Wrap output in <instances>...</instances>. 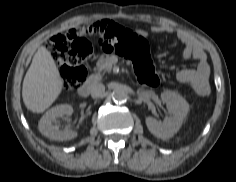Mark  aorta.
Returning <instances> with one entry per match:
<instances>
[{
	"mask_svg": "<svg viewBox=\"0 0 236 182\" xmlns=\"http://www.w3.org/2000/svg\"><path fill=\"white\" fill-rule=\"evenodd\" d=\"M112 98L116 103H124L127 100V94L124 90L118 89L112 93Z\"/></svg>",
	"mask_w": 236,
	"mask_h": 182,
	"instance_id": "obj_1",
	"label": "aorta"
}]
</instances>
